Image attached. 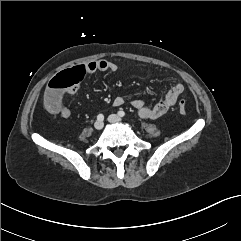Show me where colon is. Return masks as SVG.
Returning <instances> with one entry per match:
<instances>
[{
  "label": "colon",
  "instance_id": "1",
  "mask_svg": "<svg viewBox=\"0 0 241 241\" xmlns=\"http://www.w3.org/2000/svg\"><path fill=\"white\" fill-rule=\"evenodd\" d=\"M87 76V69L82 64H77L74 68L63 71L54 76L46 89L44 102L47 108H53L59 99L67 93L79 81ZM178 110L181 114L187 111L186 102H179Z\"/></svg>",
  "mask_w": 241,
  "mask_h": 241
}]
</instances>
